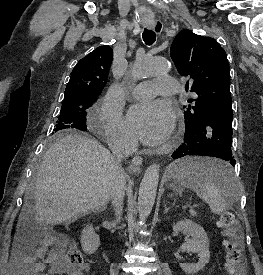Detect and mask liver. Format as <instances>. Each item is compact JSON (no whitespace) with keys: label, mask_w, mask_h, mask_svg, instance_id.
Wrapping results in <instances>:
<instances>
[{"label":"liver","mask_w":263,"mask_h":275,"mask_svg":"<svg viewBox=\"0 0 263 275\" xmlns=\"http://www.w3.org/2000/svg\"><path fill=\"white\" fill-rule=\"evenodd\" d=\"M115 158L97 140L60 136L46 151L35 180L34 220L41 225L71 222L105 209ZM26 202L19 223L30 211Z\"/></svg>","instance_id":"6515ba94"}]
</instances>
